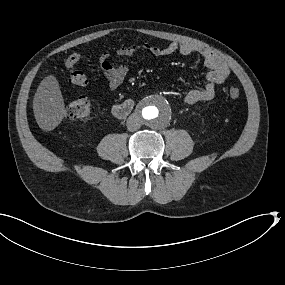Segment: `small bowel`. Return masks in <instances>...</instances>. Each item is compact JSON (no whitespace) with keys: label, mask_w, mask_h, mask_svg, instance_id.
<instances>
[{"label":"small bowel","mask_w":285,"mask_h":285,"mask_svg":"<svg viewBox=\"0 0 285 285\" xmlns=\"http://www.w3.org/2000/svg\"><path fill=\"white\" fill-rule=\"evenodd\" d=\"M140 50H145L155 57H162L174 53H180L184 56L199 55L208 73L206 82L203 86L194 88L186 93L183 101L187 105L199 102H207L214 98L217 87L224 83L229 75V69L226 63L210 49L189 42H171L165 47H159L151 44L126 45L118 48L116 54L119 56H133ZM111 53L104 51L99 57V63L107 85L111 90L119 88L128 73L124 65H114L110 62Z\"/></svg>","instance_id":"obj_1"}]
</instances>
